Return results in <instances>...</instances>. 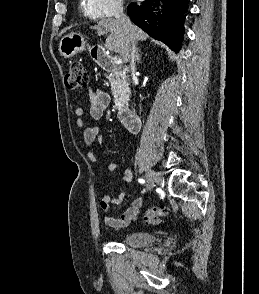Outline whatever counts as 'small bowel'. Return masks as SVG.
Segmentation results:
<instances>
[{"label":"small bowel","mask_w":259,"mask_h":294,"mask_svg":"<svg viewBox=\"0 0 259 294\" xmlns=\"http://www.w3.org/2000/svg\"><path fill=\"white\" fill-rule=\"evenodd\" d=\"M89 113L94 120H100L108 108L110 103L109 95L102 90L90 91L89 92ZM76 116V125L79 128H83V141L84 146L87 150L89 159L92 162H96V156L94 152L96 141L101 137V128L99 126H86L83 116L85 111L81 107H77L74 110ZM109 171H116L117 165L110 163L107 166ZM121 180L124 182H130L132 180V173L129 170H125L121 175ZM122 202L121 197L112 198L110 195L104 194L100 198V207L103 211H109L112 204H120ZM143 205V198L136 197L131 203L130 207L119 217L115 218L109 215L104 217V222L111 228H124L135 222L138 219L140 209Z\"/></svg>","instance_id":"obj_1"}]
</instances>
